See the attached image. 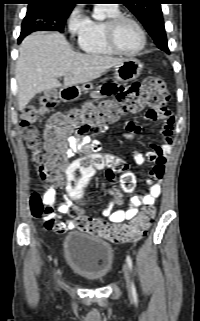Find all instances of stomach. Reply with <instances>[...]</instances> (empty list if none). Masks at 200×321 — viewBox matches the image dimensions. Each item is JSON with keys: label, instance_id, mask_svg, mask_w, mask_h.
Wrapping results in <instances>:
<instances>
[{"label": "stomach", "instance_id": "1", "mask_svg": "<svg viewBox=\"0 0 200 321\" xmlns=\"http://www.w3.org/2000/svg\"><path fill=\"white\" fill-rule=\"evenodd\" d=\"M143 65L142 63L136 58H127L124 59L121 63L114 67L115 79L120 80L121 82H128L135 80L141 74ZM92 89L91 83H84L82 86H71V87H64L59 96L63 100H76L78 99L82 91L87 92L88 90Z\"/></svg>", "mask_w": 200, "mask_h": 321}]
</instances>
